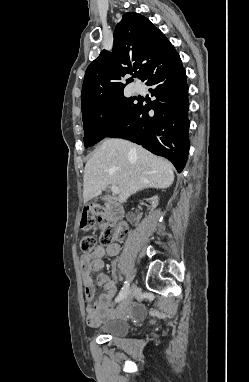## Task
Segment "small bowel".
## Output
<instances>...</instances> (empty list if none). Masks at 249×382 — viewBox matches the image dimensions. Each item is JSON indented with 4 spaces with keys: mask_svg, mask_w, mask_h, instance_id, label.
<instances>
[{
    "mask_svg": "<svg viewBox=\"0 0 249 382\" xmlns=\"http://www.w3.org/2000/svg\"><path fill=\"white\" fill-rule=\"evenodd\" d=\"M120 252V245L111 244L108 247L101 245L96 246L92 251L84 253L80 257V271L82 276L85 299L87 302L86 322L89 326H95L105 319L115 309L113 299L117 292L116 284L109 276L102 272L104 268V259L106 257H114ZM98 272L97 282L103 288V293L94 302L95 286L91 276L92 273Z\"/></svg>",
    "mask_w": 249,
    "mask_h": 382,
    "instance_id": "c3829d8e",
    "label": "small bowel"
}]
</instances>
